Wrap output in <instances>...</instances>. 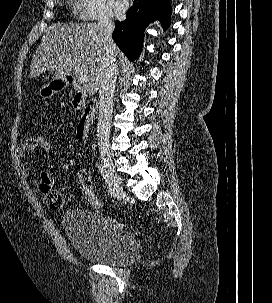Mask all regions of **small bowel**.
Instances as JSON below:
<instances>
[{
	"instance_id": "obj_1",
	"label": "small bowel",
	"mask_w": 272,
	"mask_h": 303,
	"mask_svg": "<svg viewBox=\"0 0 272 303\" xmlns=\"http://www.w3.org/2000/svg\"><path fill=\"white\" fill-rule=\"evenodd\" d=\"M34 150V137H29L26 141L21 144L17 149V154L19 158H25L28 153L33 152ZM22 172L25 176L30 175V169L26 166H23ZM34 182L37 184V187L40 193L45 196L54 189V179L47 171H41L34 179Z\"/></svg>"
}]
</instances>
